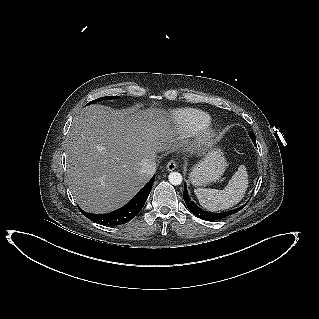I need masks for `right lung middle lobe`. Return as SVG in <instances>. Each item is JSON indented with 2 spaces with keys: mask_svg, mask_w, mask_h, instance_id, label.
Masks as SVG:
<instances>
[{
  "mask_svg": "<svg viewBox=\"0 0 319 319\" xmlns=\"http://www.w3.org/2000/svg\"><path fill=\"white\" fill-rule=\"evenodd\" d=\"M117 98H118V96L101 97V98H98V99H96V100H94V101H91V102H90V103H88L87 105H89V104H93V103H96V102H98V101H102V100L117 99Z\"/></svg>",
  "mask_w": 319,
  "mask_h": 319,
  "instance_id": "right-lung-middle-lobe-1",
  "label": "right lung middle lobe"
}]
</instances>
